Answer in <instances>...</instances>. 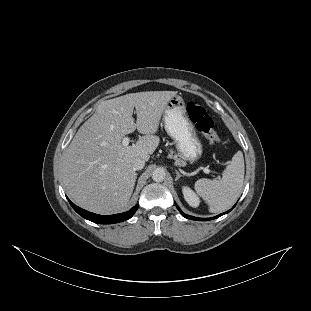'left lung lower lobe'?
Segmentation results:
<instances>
[{
  "label": "left lung lower lobe",
  "mask_w": 311,
  "mask_h": 311,
  "mask_svg": "<svg viewBox=\"0 0 311 311\" xmlns=\"http://www.w3.org/2000/svg\"><path fill=\"white\" fill-rule=\"evenodd\" d=\"M235 207V205L233 206V208ZM177 208H178V210L181 212V214L184 216V217H186V218H188V219H191V220H198V221H207V220H212V219H215V218H218L219 216H221V215H223V214H226V213H228V212H230L232 209H230L229 211H227V212H225V213H222V214H220V215H218V216H216V217H212V218H197V217H193V216H190V215H187V214H184L181 210H180V208L177 206Z\"/></svg>",
  "instance_id": "1"
}]
</instances>
